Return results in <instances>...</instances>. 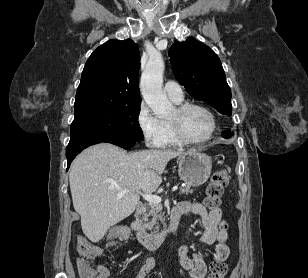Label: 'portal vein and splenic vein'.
Here are the masks:
<instances>
[{
	"label": "portal vein and splenic vein",
	"instance_id": "portal-vein-and-splenic-vein-1",
	"mask_svg": "<svg viewBox=\"0 0 308 278\" xmlns=\"http://www.w3.org/2000/svg\"><path fill=\"white\" fill-rule=\"evenodd\" d=\"M178 189L177 186H174L172 188V191H176ZM130 190L128 189H120L119 188V193L117 194L118 198L123 197L126 193H128ZM140 194L143 196V198L148 201L149 203H160L161 202V197L158 195H152L151 193H141Z\"/></svg>",
	"mask_w": 308,
	"mask_h": 278
}]
</instances>
